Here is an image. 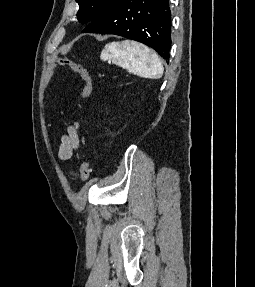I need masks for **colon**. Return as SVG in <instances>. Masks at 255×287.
Listing matches in <instances>:
<instances>
[{"instance_id":"1","label":"colon","mask_w":255,"mask_h":287,"mask_svg":"<svg viewBox=\"0 0 255 287\" xmlns=\"http://www.w3.org/2000/svg\"><path fill=\"white\" fill-rule=\"evenodd\" d=\"M61 66L71 70L72 72L78 74L83 81V90H82V97L86 98L90 96L92 92V82L91 77L88 71L80 64L74 62L68 58H61L59 60ZM79 174L81 182H86L91 174V169L89 162L87 160H83L79 166Z\"/></svg>"}]
</instances>
